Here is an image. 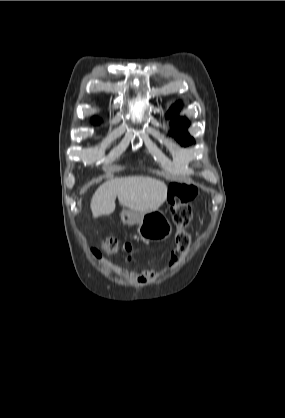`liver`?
<instances>
[{"mask_svg":"<svg viewBox=\"0 0 285 418\" xmlns=\"http://www.w3.org/2000/svg\"><path fill=\"white\" fill-rule=\"evenodd\" d=\"M116 197L123 207L143 214L157 210L165 202L167 186L163 181L145 176H129L106 181L92 196L90 207L93 215L113 213Z\"/></svg>","mask_w":285,"mask_h":418,"instance_id":"6515ba94","label":"liver"}]
</instances>
